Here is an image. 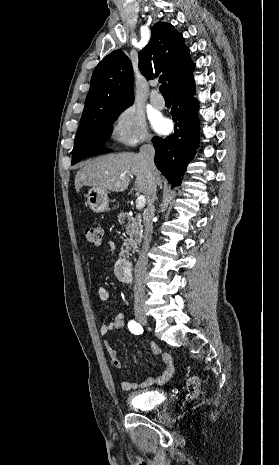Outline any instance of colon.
Here are the masks:
<instances>
[{"label": "colon", "instance_id": "obj_1", "mask_svg": "<svg viewBox=\"0 0 279 465\" xmlns=\"http://www.w3.org/2000/svg\"><path fill=\"white\" fill-rule=\"evenodd\" d=\"M85 236L87 241L92 246H99L102 242L103 230L100 227H88L85 230ZM200 391V379L192 375L186 381V396L188 399L193 400L199 395Z\"/></svg>", "mask_w": 279, "mask_h": 465}]
</instances>
